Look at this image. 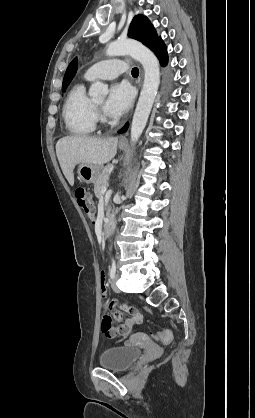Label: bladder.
I'll return each instance as SVG.
<instances>
[{
    "mask_svg": "<svg viewBox=\"0 0 255 418\" xmlns=\"http://www.w3.org/2000/svg\"><path fill=\"white\" fill-rule=\"evenodd\" d=\"M140 354V350L135 347H113L102 352L99 357V364L106 369L125 371L138 360Z\"/></svg>",
    "mask_w": 255,
    "mask_h": 418,
    "instance_id": "obj_1",
    "label": "bladder"
}]
</instances>
